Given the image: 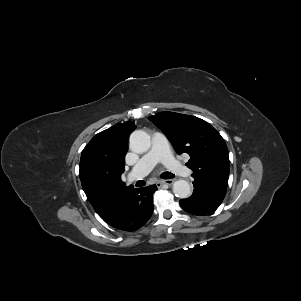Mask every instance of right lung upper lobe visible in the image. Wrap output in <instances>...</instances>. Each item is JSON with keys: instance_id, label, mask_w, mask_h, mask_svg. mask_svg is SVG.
Segmentation results:
<instances>
[{"instance_id": "cb5924a9", "label": "right lung upper lobe", "mask_w": 301, "mask_h": 301, "mask_svg": "<svg viewBox=\"0 0 301 301\" xmlns=\"http://www.w3.org/2000/svg\"><path fill=\"white\" fill-rule=\"evenodd\" d=\"M127 121L97 135L83 149L79 176L83 190L98 215L107 222L117 211L125 194L133 188L121 180L129 135L135 130Z\"/></svg>"}]
</instances>
